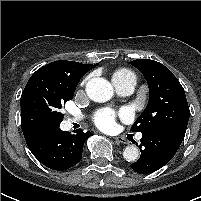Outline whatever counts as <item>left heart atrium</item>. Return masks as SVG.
<instances>
[{
	"mask_svg": "<svg viewBox=\"0 0 201 201\" xmlns=\"http://www.w3.org/2000/svg\"><path fill=\"white\" fill-rule=\"evenodd\" d=\"M115 120L116 113L111 109H103L98 111L94 118L96 126L102 130H111L114 128Z\"/></svg>",
	"mask_w": 201,
	"mask_h": 201,
	"instance_id": "left-heart-atrium-1",
	"label": "left heart atrium"
}]
</instances>
